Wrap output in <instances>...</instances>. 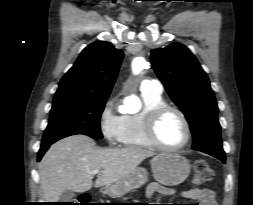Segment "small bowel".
Segmentation results:
<instances>
[{
  "mask_svg": "<svg viewBox=\"0 0 253 205\" xmlns=\"http://www.w3.org/2000/svg\"><path fill=\"white\" fill-rule=\"evenodd\" d=\"M172 195L173 190L167 187L161 186L157 183H152L147 189V195L149 197L155 194ZM182 195L190 200L196 201V205H217L214 200L213 192L209 189H187L183 191Z\"/></svg>",
  "mask_w": 253,
  "mask_h": 205,
  "instance_id": "1",
  "label": "small bowel"
}]
</instances>
